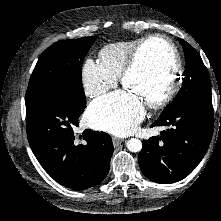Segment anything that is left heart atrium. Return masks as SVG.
<instances>
[{
  "instance_id": "39dd6f15",
  "label": "left heart atrium",
  "mask_w": 221,
  "mask_h": 221,
  "mask_svg": "<svg viewBox=\"0 0 221 221\" xmlns=\"http://www.w3.org/2000/svg\"><path fill=\"white\" fill-rule=\"evenodd\" d=\"M144 116V103L127 89L94 101L87 113L92 126L117 136L131 134Z\"/></svg>"
}]
</instances>
